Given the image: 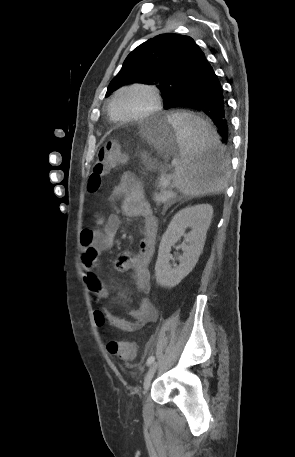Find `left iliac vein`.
<instances>
[{"mask_svg": "<svg viewBox=\"0 0 295 457\" xmlns=\"http://www.w3.org/2000/svg\"><path fill=\"white\" fill-rule=\"evenodd\" d=\"M157 366H158V363L157 362H154L150 368L148 369L146 375H145V378H144V383H143V392L144 394L147 393L149 387H150V384H151V381H152V378L156 372V369H157Z\"/></svg>", "mask_w": 295, "mask_h": 457, "instance_id": "4c4485c4", "label": "left iliac vein"}]
</instances>
